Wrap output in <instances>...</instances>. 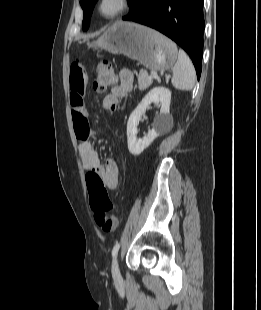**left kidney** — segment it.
I'll return each instance as SVG.
<instances>
[{
	"instance_id": "obj_1",
	"label": "left kidney",
	"mask_w": 261,
	"mask_h": 310,
	"mask_svg": "<svg viewBox=\"0 0 261 310\" xmlns=\"http://www.w3.org/2000/svg\"><path fill=\"white\" fill-rule=\"evenodd\" d=\"M171 92L166 87H154L131 113L127 123L128 149L132 155L141 154L162 132L172 124L170 115ZM151 103H160V113L154 120L153 128L144 138H137L138 124L141 116Z\"/></svg>"
}]
</instances>
